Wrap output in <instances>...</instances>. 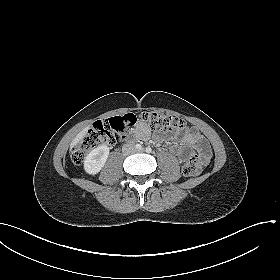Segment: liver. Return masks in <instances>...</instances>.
I'll return each mask as SVG.
<instances>
[{"instance_id":"liver-1","label":"liver","mask_w":280,"mask_h":280,"mask_svg":"<svg viewBox=\"0 0 280 280\" xmlns=\"http://www.w3.org/2000/svg\"><path fill=\"white\" fill-rule=\"evenodd\" d=\"M88 129L89 127H86L74 138L72 146L76 145L80 140H82L86 136Z\"/></svg>"}]
</instances>
